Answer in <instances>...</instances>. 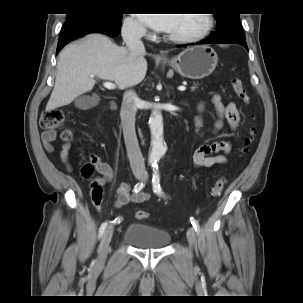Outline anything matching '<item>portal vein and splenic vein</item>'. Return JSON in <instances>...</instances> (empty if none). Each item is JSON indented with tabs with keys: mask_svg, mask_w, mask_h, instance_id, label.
I'll return each instance as SVG.
<instances>
[{
	"mask_svg": "<svg viewBox=\"0 0 303 303\" xmlns=\"http://www.w3.org/2000/svg\"><path fill=\"white\" fill-rule=\"evenodd\" d=\"M91 77H94V75H91ZM103 86L109 90H113L115 89V85L111 82H104L103 83ZM178 90L180 91H185L186 90V87L185 86H179L178 87Z\"/></svg>",
	"mask_w": 303,
	"mask_h": 303,
	"instance_id": "18ae733b",
	"label": "portal vein and splenic vein"
}]
</instances>
